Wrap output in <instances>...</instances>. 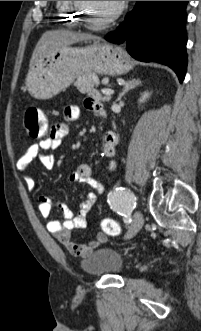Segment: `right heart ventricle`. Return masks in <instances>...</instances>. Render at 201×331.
Masks as SVG:
<instances>
[{"instance_id":"e07e8e85","label":"right heart ventricle","mask_w":201,"mask_h":331,"mask_svg":"<svg viewBox=\"0 0 201 331\" xmlns=\"http://www.w3.org/2000/svg\"><path fill=\"white\" fill-rule=\"evenodd\" d=\"M72 1H56V7L59 12V18L66 26H75L77 24L78 13L72 7Z\"/></svg>"}]
</instances>
